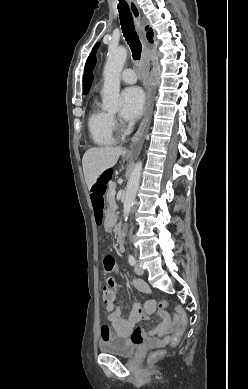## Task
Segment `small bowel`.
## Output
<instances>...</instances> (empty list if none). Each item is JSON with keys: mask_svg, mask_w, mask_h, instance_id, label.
Here are the masks:
<instances>
[{"mask_svg": "<svg viewBox=\"0 0 248 389\" xmlns=\"http://www.w3.org/2000/svg\"><path fill=\"white\" fill-rule=\"evenodd\" d=\"M133 288L138 291L149 294L150 289L147 284L141 279H131ZM110 291V288H109ZM119 291V287H118ZM117 292H111L113 299L106 303L111 326L104 325L101 328V339L104 340L112 334H116L134 344H145L150 348L161 346L168 340L170 334L177 325V322L170 316L168 312H161V323L152 331H144L135 328L136 324L142 319L148 318V315L155 310V300L149 299L144 304L135 302L127 315L123 310L116 306ZM134 339L136 341H134Z\"/></svg>", "mask_w": 248, "mask_h": 389, "instance_id": "c3829d8e", "label": "small bowel"}]
</instances>
